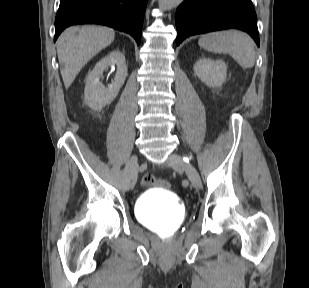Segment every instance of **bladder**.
Here are the masks:
<instances>
[{
  "mask_svg": "<svg viewBox=\"0 0 309 288\" xmlns=\"http://www.w3.org/2000/svg\"><path fill=\"white\" fill-rule=\"evenodd\" d=\"M135 213L142 225L157 232L178 229L186 215L178 197L160 188L142 193L135 201Z\"/></svg>",
  "mask_w": 309,
  "mask_h": 288,
  "instance_id": "obj_1",
  "label": "bladder"
}]
</instances>
